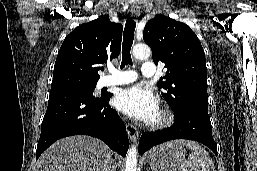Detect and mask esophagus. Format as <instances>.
Masks as SVG:
<instances>
[{"instance_id": "obj_1", "label": "esophagus", "mask_w": 257, "mask_h": 171, "mask_svg": "<svg viewBox=\"0 0 257 171\" xmlns=\"http://www.w3.org/2000/svg\"><path fill=\"white\" fill-rule=\"evenodd\" d=\"M131 15L133 17H138L140 15V7L137 4L131 6ZM126 131L131 141L135 142L138 139L139 133L134 125L128 123L126 125Z\"/></svg>"}]
</instances>
